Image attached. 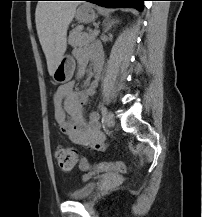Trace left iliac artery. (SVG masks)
Returning <instances> with one entry per match:
<instances>
[{
    "label": "left iliac artery",
    "instance_id": "44dca946",
    "mask_svg": "<svg viewBox=\"0 0 202 217\" xmlns=\"http://www.w3.org/2000/svg\"><path fill=\"white\" fill-rule=\"evenodd\" d=\"M100 111L102 114V123H104V121H105L104 118H105V115L107 113V108L105 106H101Z\"/></svg>",
    "mask_w": 202,
    "mask_h": 217
}]
</instances>
